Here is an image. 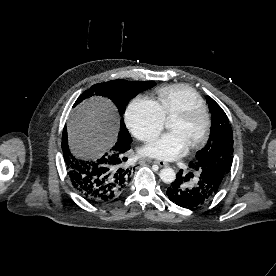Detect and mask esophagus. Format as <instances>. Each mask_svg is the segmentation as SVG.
<instances>
[{"instance_id": "esophagus-1", "label": "esophagus", "mask_w": 276, "mask_h": 276, "mask_svg": "<svg viewBox=\"0 0 276 276\" xmlns=\"http://www.w3.org/2000/svg\"><path fill=\"white\" fill-rule=\"evenodd\" d=\"M149 162H153L158 164L160 167H166L169 166V164L165 161H160V160H148Z\"/></svg>"}]
</instances>
